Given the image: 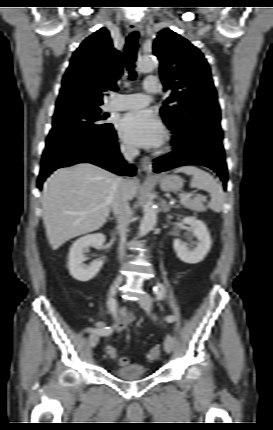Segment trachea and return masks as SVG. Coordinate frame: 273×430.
Masks as SVG:
<instances>
[{
	"label": "trachea",
	"instance_id": "1",
	"mask_svg": "<svg viewBox=\"0 0 273 430\" xmlns=\"http://www.w3.org/2000/svg\"><path fill=\"white\" fill-rule=\"evenodd\" d=\"M137 38L138 33L133 31L127 38L126 47H125V64L129 71V79L133 80L136 78L135 61L137 58Z\"/></svg>",
	"mask_w": 273,
	"mask_h": 430
}]
</instances>
